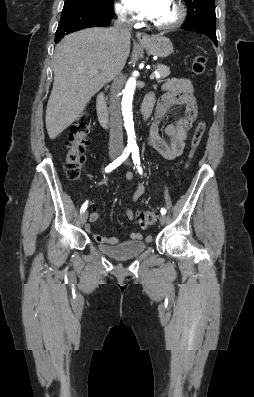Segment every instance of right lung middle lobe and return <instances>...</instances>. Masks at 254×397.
Segmentation results:
<instances>
[{
  "label": "right lung middle lobe",
  "instance_id": "obj_1",
  "mask_svg": "<svg viewBox=\"0 0 254 397\" xmlns=\"http://www.w3.org/2000/svg\"><path fill=\"white\" fill-rule=\"evenodd\" d=\"M97 12L113 11L114 0H65Z\"/></svg>",
  "mask_w": 254,
  "mask_h": 397
}]
</instances>
